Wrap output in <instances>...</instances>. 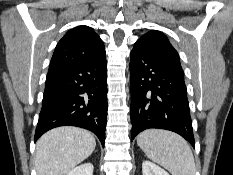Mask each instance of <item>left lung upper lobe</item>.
<instances>
[{
	"instance_id": "obj_1",
	"label": "left lung upper lobe",
	"mask_w": 233,
	"mask_h": 175,
	"mask_svg": "<svg viewBox=\"0 0 233 175\" xmlns=\"http://www.w3.org/2000/svg\"><path fill=\"white\" fill-rule=\"evenodd\" d=\"M135 44L145 48L163 61L182 68L177 51L162 32L151 30L138 39Z\"/></svg>"
}]
</instances>
